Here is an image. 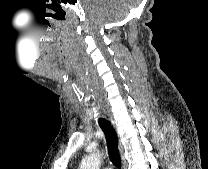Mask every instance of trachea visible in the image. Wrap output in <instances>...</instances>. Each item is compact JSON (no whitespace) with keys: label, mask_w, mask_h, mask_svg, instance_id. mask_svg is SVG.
<instances>
[{"label":"trachea","mask_w":208,"mask_h":169,"mask_svg":"<svg viewBox=\"0 0 208 169\" xmlns=\"http://www.w3.org/2000/svg\"><path fill=\"white\" fill-rule=\"evenodd\" d=\"M99 126L106 136L108 154L111 162L118 168H121V157L118 149V138L111 122L105 118H99Z\"/></svg>","instance_id":"obj_1"}]
</instances>
